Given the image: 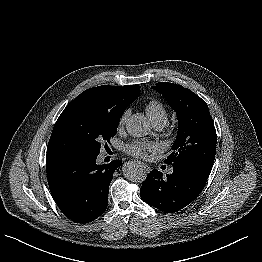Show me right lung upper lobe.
<instances>
[{"mask_svg": "<svg viewBox=\"0 0 262 262\" xmlns=\"http://www.w3.org/2000/svg\"><path fill=\"white\" fill-rule=\"evenodd\" d=\"M140 96V86H98L87 89L72 102L87 101L122 116L125 109Z\"/></svg>", "mask_w": 262, "mask_h": 262, "instance_id": "cb5924a9", "label": "right lung upper lobe"}]
</instances>
